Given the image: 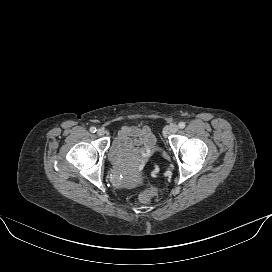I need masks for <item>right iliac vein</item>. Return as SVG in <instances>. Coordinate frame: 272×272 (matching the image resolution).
Here are the masks:
<instances>
[{
	"label": "right iliac vein",
	"instance_id": "63e3f726",
	"mask_svg": "<svg viewBox=\"0 0 272 272\" xmlns=\"http://www.w3.org/2000/svg\"><path fill=\"white\" fill-rule=\"evenodd\" d=\"M104 134H105V131L103 129L100 128V129L97 130V135L98 136H103Z\"/></svg>",
	"mask_w": 272,
	"mask_h": 272
}]
</instances>
